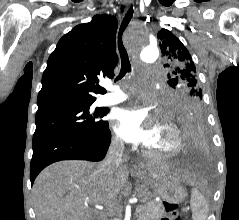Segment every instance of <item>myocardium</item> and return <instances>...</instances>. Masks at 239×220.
<instances>
[{
    "label": "myocardium",
    "instance_id": "1",
    "mask_svg": "<svg viewBox=\"0 0 239 220\" xmlns=\"http://www.w3.org/2000/svg\"><path fill=\"white\" fill-rule=\"evenodd\" d=\"M163 126L169 131L172 136L173 142L169 149H154L149 146L144 147V152L157 158H171L177 156L184 147L183 137L179 128L169 119H165Z\"/></svg>",
    "mask_w": 239,
    "mask_h": 220
}]
</instances>
